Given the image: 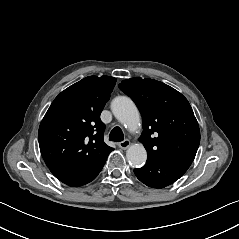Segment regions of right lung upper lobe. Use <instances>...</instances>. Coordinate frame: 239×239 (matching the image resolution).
Segmentation results:
<instances>
[{
  "mask_svg": "<svg viewBox=\"0 0 239 239\" xmlns=\"http://www.w3.org/2000/svg\"><path fill=\"white\" fill-rule=\"evenodd\" d=\"M109 76H89L62 91L52 102L38 132L39 147L49 169L87 168L113 148L103 141L100 113L115 86Z\"/></svg>",
  "mask_w": 239,
  "mask_h": 239,
  "instance_id": "cb5924a9",
  "label": "right lung upper lobe"
}]
</instances>
